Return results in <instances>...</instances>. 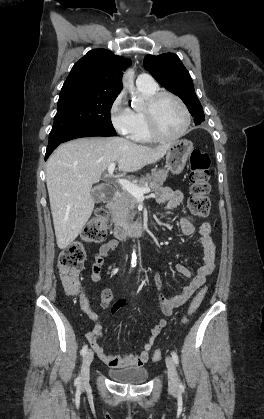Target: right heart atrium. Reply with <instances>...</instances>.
<instances>
[{
  "mask_svg": "<svg viewBox=\"0 0 264 419\" xmlns=\"http://www.w3.org/2000/svg\"><path fill=\"white\" fill-rule=\"evenodd\" d=\"M110 118L113 127L121 135H130L133 127V115L129 108L124 106V94L120 93L110 108Z\"/></svg>",
  "mask_w": 264,
  "mask_h": 419,
  "instance_id": "obj_1",
  "label": "right heart atrium"
}]
</instances>
